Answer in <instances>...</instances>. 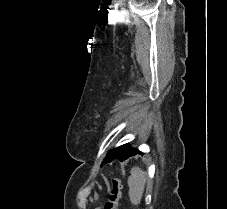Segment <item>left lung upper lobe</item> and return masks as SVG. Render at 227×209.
I'll use <instances>...</instances> for the list:
<instances>
[{
  "label": "left lung upper lobe",
  "instance_id": "5c2ea615",
  "mask_svg": "<svg viewBox=\"0 0 227 209\" xmlns=\"http://www.w3.org/2000/svg\"><path fill=\"white\" fill-rule=\"evenodd\" d=\"M130 149H131V147L129 146V144H124V145H121V146L111 150L106 155V157L103 161V164L111 162L114 159L120 160Z\"/></svg>",
  "mask_w": 227,
  "mask_h": 209
}]
</instances>
